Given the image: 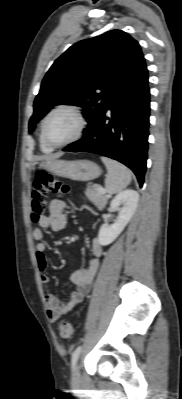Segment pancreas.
Segmentation results:
<instances>
[{
    "mask_svg": "<svg viewBox=\"0 0 182 399\" xmlns=\"http://www.w3.org/2000/svg\"><path fill=\"white\" fill-rule=\"evenodd\" d=\"M102 187L100 185L88 184L86 195L98 206L102 207L104 205V201H106L105 193L101 192Z\"/></svg>",
    "mask_w": 182,
    "mask_h": 399,
    "instance_id": "1",
    "label": "pancreas"
}]
</instances>
